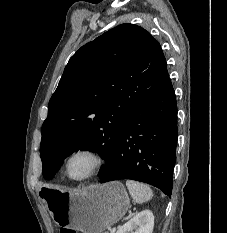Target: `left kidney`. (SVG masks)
Masks as SVG:
<instances>
[{"mask_svg": "<svg viewBox=\"0 0 227 233\" xmlns=\"http://www.w3.org/2000/svg\"><path fill=\"white\" fill-rule=\"evenodd\" d=\"M153 228L154 215L150 210H144L121 226L116 233H152Z\"/></svg>", "mask_w": 227, "mask_h": 233, "instance_id": "left-kidney-1", "label": "left kidney"}]
</instances>
